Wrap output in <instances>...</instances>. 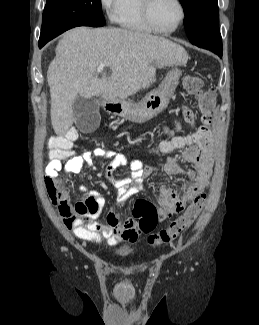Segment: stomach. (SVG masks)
Wrapping results in <instances>:
<instances>
[{"mask_svg":"<svg viewBox=\"0 0 259 325\" xmlns=\"http://www.w3.org/2000/svg\"><path fill=\"white\" fill-rule=\"evenodd\" d=\"M181 76L178 68H172L161 86L146 95L139 103L132 104L124 100H115L104 105L109 114L126 118L132 122L143 123L162 112L169 104Z\"/></svg>","mask_w":259,"mask_h":325,"instance_id":"stomach-1","label":"stomach"}]
</instances>
